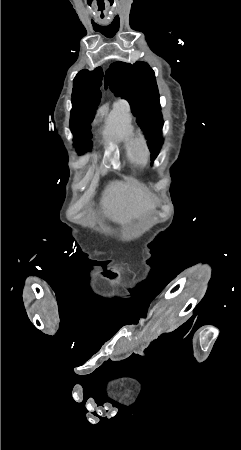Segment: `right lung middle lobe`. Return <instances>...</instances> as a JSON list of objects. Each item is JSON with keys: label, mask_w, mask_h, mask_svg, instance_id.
Returning a JSON list of instances; mask_svg holds the SVG:
<instances>
[{"label": "right lung middle lobe", "mask_w": 241, "mask_h": 450, "mask_svg": "<svg viewBox=\"0 0 241 450\" xmlns=\"http://www.w3.org/2000/svg\"><path fill=\"white\" fill-rule=\"evenodd\" d=\"M101 78L90 74L88 72H79L73 81L72 104L70 127L72 132L75 131L79 118L86 112H90L94 116L97 105L100 102L101 92ZM92 135L89 136V141ZM91 141L89 146L79 150L81 153L86 152L91 148Z\"/></svg>", "instance_id": "right-lung-middle-lobe-1"}]
</instances>
